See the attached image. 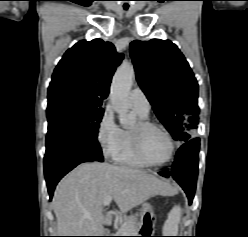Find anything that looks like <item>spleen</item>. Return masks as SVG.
Returning a JSON list of instances; mask_svg holds the SVG:
<instances>
[{"instance_id":"1","label":"spleen","mask_w":248,"mask_h":237,"mask_svg":"<svg viewBox=\"0 0 248 237\" xmlns=\"http://www.w3.org/2000/svg\"><path fill=\"white\" fill-rule=\"evenodd\" d=\"M181 215H182V209L180 206H174L171 209L163 227L164 235L177 236Z\"/></svg>"}]
</instances>
